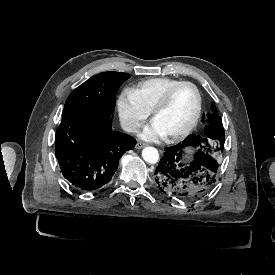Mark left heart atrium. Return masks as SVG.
I'll return each mask as SVG.
<instances>
[{
    "mask_svg": "<svg viewBox=\"0 0 275 275\" xmlns=\"http://www.w3.org/2000/svg\"><path fill=\"white\" fill-rule=\"evenodd\" d=\"M142 138L147 140L163 139L166 134L153 122L141 134Z\"/></svg>",
    "mask_w": 275,
    "mask_h": 275,
    "instance_id": "left-heart-atrium-1",
    "label": "left heart atrium"
}]
</instances>
